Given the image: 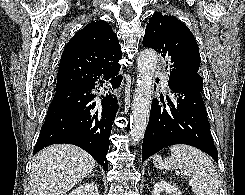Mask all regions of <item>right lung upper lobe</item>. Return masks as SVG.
<instances>
[{
    "instance_id": "1",
    "label": "right lung upper lobe",
    "mask_w": 245,
    "mask_h": 195,
    "mask_svg": "<svg viewBox=\"0 0 245 195\" xmlns=\"http://www.w3.org/2000/svg\"><path fill=\"white\" fill-rule=\"evenodd\" d=\"M121 46L111 26L103 20L92 21L75 34L60 60L56 89L93 80L97 71L115 77L120 70Z\"/></svg>"
}]
</instances>
